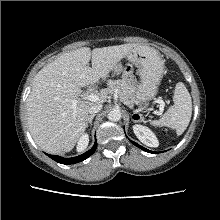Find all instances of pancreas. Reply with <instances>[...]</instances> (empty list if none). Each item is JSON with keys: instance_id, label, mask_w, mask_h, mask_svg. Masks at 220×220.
Returning <instances> with one entry per match:
<instances>
[{"instance_id": "cf45deb5", "label": "pancreas", "mask_w": 220, "mask_h": 220, "mask_svg": "<svg viewBox=\"0 0 220 220\" xmlns=\"http://www.w3.org/2000/svg\"><path fill=\"white\" fill-rule=\"evenodd\" d=\"M108 91L111 95L117 94L120 98V101H122L127 106H133L135 102L134 101L135 88L126 80L117 79V80L109 81Z\"/></svg>"}]
</instances>
